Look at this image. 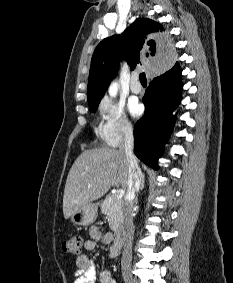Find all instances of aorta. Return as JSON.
Instances as JSON below:
<instances>
[{
    "label": "aorta",
    "mask_w": 233,
    "mask_h": 283,
    "mask_svg": "<svg viewBox=\"0 0 233 283\" xmlns=\"http://www.w3.org/2000/svg\"><path fill=\"white\" fill-rule=\"evenodd\" d=\"M109 94L113 97L116 96L117 94V84L115 82H113L110 87H109Z\"/></svg>",
    "instance_id": "obj_1"
}]
</instances>
